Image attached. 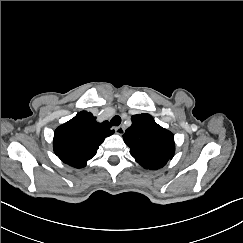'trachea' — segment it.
<instances>
[{"label": "trachea", "instance_id": "obj_1", "mask_svg": "<svg viewBox=\"0 0 243 243\" xmlns=\"http://www.w3.org/2000/svg\"><path fill=\"white\" fill-rule=\"evenodd\" d=\"M121 123V118L119 116H114L111 120H110V126H118Z\"/></svg>", "mask_w": 243, "mask_h": 243}]
</instances>
